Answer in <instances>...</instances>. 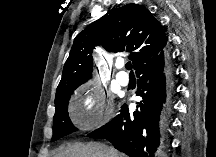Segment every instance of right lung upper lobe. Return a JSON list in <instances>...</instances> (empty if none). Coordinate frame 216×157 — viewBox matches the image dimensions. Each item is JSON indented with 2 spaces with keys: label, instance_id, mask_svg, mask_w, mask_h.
<instances>
[{
  "label": "right lung upper lobe",
  "instance_id": "1",
  "mask_svg": "<svg viewBox=\"0 0 216 157\" xmlns=\"http://www.w3.org/2000/svg\"><path fill=\"white\" fill-rule=\"evenodd\" d=\"M167 43L161 23L144 6L126 4L111 10L80 32L73 43L57 87L56 98L66 90H75L90 77L92 50L101 44L107 51H133L129 57L137 70L157 58Z\"/></svg>",
  "mask_w": 216,
  "mask_h": 157
}]
</instances>
